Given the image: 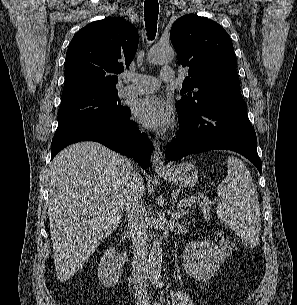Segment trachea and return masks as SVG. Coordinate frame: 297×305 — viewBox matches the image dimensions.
Returning <instances> with one entry per match:
<instances>
[{"label":"trachea","instance_id":"3493384b","mask_svg":"<svg viewBox=\"0 0 297 305\" xmlns=\"http://www.w3.org/2000/svg\"><path fill=\"white\" fill-rule=\"evenodd\" d=\"M158 10H159L158 0H145L144 3L145 26L149 40H153L156 36Z\"/></svg>","mask_w":297,"mask_h":305}]
</instances>
